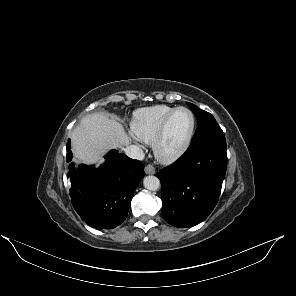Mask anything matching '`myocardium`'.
<instances>
[{
	"instance_id": "obj_1",
	"label": "myocardium",
	"mask_w": 296,
	"mask_h": 296,
	"mask_svg": "<svg viewBox=\"0 0 296 296\" xmlns=\"http://www.w3.org/2000/svg\"><path fill=\"white\" fill-rule=\"evenodd\" d=\"M179 111H187L192 118V124H191V128L190 131L185 139V141L183 142V144L174 152L172 153H163L161 150V145L162 142L164 140V137L166 135V131L168 129V126L171 122V120L173 119V117L175 116V114ZM195 128H196V117L195 114L187 107H177L175 108L168 116L167 118L164 120V122L162 123L154 141H153V151L155 154V157L162 163H172L177 161L178 159H180L185 152L188 150L194 132H195Z\"/></svg>"
}]
</instances>
